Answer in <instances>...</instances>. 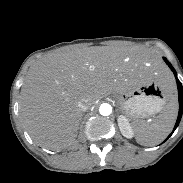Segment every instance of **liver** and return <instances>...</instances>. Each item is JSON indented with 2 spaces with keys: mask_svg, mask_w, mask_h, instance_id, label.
Here are the masks:
<instances>
[{
  "mask_svg": "<svg viewBox=\"0 0 183 183\" xmlns=\"http://www.w3.org/2000/svg\"><path fill=\"white\" fill-rule=\"evenodd\" d=\"M152 64L166 84L164 68L145 51L135 48L93 46L49 54L29 68L21 89L23 123L39 145L59 150L73 143L83 113L109 94H122L134 80V68Z\"/></svg>",
  "mask_w": 183,
  "mask_h": 183,
  "instance_id": "1",
  "label": "liver"
}]
</instances>
